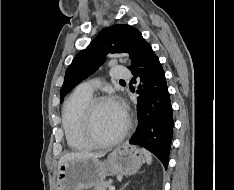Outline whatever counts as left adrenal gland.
<instances>
[{"label": "left adrenal gland", "instance_id": "1", "mask_svg": "<svg viewBox=\"0 0 234 190\" xmlns=\"http://www.w3.org/2000/svg\"><path fill=\"white\" fill-rule=\"evenodd\" d=\"M127 185L128 183H126L120 190H123Z\"/></svg>", "mask_w": 234, "mask_h": 190}]
</instances>
